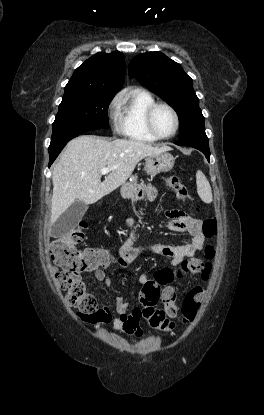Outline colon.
Listing matches in <instances>:
<instances>
[{"label":"colon","mask_w":264,"mask_h":415,"mask_svg":"<svg viewBox=\"0 0 264 415\" xmlns=\"http://www.w3.org/2000/svg\"><path fill=\"white\" fill-rule=\"evenodd\" d=\"M166 184L180 201L186 203L190 200L187 188L177 176L166 177ZM87 228L88 224L82 221L74 230L55 240L50 247V256L55 270V281L65 293L66 304L76 309L80 317L96 318V299L82 279L81 273L85 269L106 266L112 262L113 257L97 248H79L85 240ZM202 230L208 240H213L218 234L216 218L212 215L205 217ZM215 255L216 248L213 244H208L204 252V264L199 258H190L180 267L158 271L153 279L143 285L140 292L141 318L159 330L171 329L179 318L184 323L192 322L205 297V289L201 286L192 288L186 294L179 313L177 293L170 285L175 279L198 269H201L202 279L208 280ZM159 301L164 305L161 310L156 307Z\"/></svg>","instance_id":"5ec220e1"}]
</instances>
